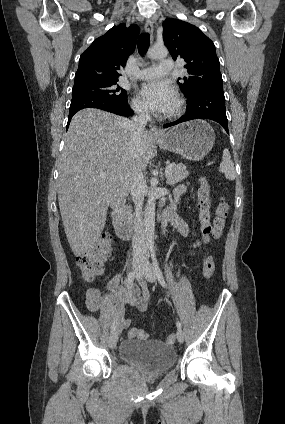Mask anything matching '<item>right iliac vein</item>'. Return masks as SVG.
<instances>
[{
	"label": "right iliac vein",
	"mask_w": 285,
	"mask_h": 424,
	"mask_svg": "<svg viewBox=\"0 0 285 424\" xmlns=\"http://www.w3.org/2000/svg\"><path fill=\"white\" fill-rule=\"evenodd\" d=\"M142 262H143V258L141 256L136 257L133 260V271L135 273L136 278H138L141 275ZM117 341H118V333L114 331L113 333H111L109 338V346L111 349H114L116 347Z\"/></svg>",
	"instance_id": "obj_1"
}]
</instances>
